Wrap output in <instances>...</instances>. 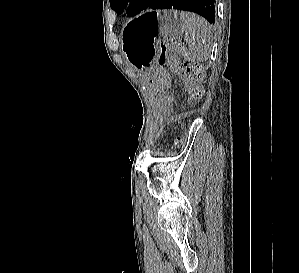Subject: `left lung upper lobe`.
Here are the masks:
<instances>
[{"label":"left lung upper lobe","mask_w":299,"mask_h":273,"mask_svg":"<svg viewBox=\"0 0 299 273\" xmlns=\"http://www.w3.org/2000/svg\"><path fill=\"white\" fill-rule=\"evenodd\" d=\"M129 2L130 6L126 12L132 17L139 14L142 9H146L151 0H110V6L117 14H121Z\"/></svg>","instance_id":"left-lung-upper-lobe-1"}]
</instances>
